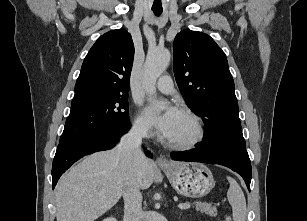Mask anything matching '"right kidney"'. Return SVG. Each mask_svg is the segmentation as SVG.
Here are the masks:
<instances>
[{
	"label": "right kidney",
	"instance_id": "obj_1",
	"mask_svg": "<svg viewBox=\"0 0 307 221\" xmlns=\"http://www.w3.org/2000/svg\"><path fill=\"white\" fill-rule=\"evenodd\" d=\"M103 221H117V220L115 218H113V217H110V218L104 219Z\"/></svg>",
	"mask_w": 307,
	"mask_h": 221
}]
</instances>
